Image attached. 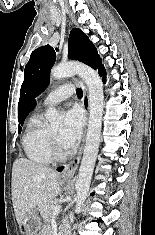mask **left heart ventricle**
<instances>
[{
	"instance_id": "b2bd125f",
	"label": "left heart ventricle",
	"mask_w": 155,
	"mask_h": 235,
	"mask_svg": "<svg viewBox=\"0 0 155 235\" xmlns=\"http://www.w3.org/2000/svg\"><path fill=\"white\" fill-rule=\"evenodd\" d=\"M51 132L54 134V136L57 138L58 142H59V132H60V127H55L53 129H51ZM60 144V142H59ZM61 145V144H60ZM62 146V145H61Z\"/></svg>"
}]
</instances>
